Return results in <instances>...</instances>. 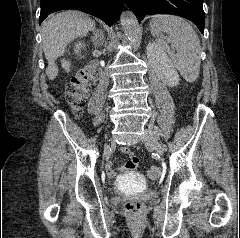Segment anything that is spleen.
<instances>
[{
	"label": "spleen",
	"instance_id": "1",
	"mask_svg": "<svg viewBox=\"0 0 240 238\" xmlns=\"http://www.w3.org/2000/svg\"><path fill=\"white\" fill-rule=\"evenodd\" d=\"M149 26L157 43L169 53L184 79L187 82H194L200 72L201 46L198 35L190 24L177 16L156 15L150 21ZM162 33H166L173 41V47L170 48L161 38Z\"/></svg>",
	"mask_w": 240,
	"mask_h": 238
}]
</instances>
